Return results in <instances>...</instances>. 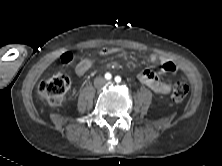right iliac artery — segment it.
<instances>
[{
  "label": "right iliac artery",
  "instance_id": "1",
  "mask_svg": "<svg viewBox=\"0 0 222 166\" xmlns=\"http://www.w3.org/2000/svg\"><path fill=\"white\" fill-rule=\"evenodd\" d=\"M111 78H112V75L110 73L105 74V79L106 80H111Z\"/></svg>",
  "mask_w": 222,
  "mask_h": 166
}]
</instances>
